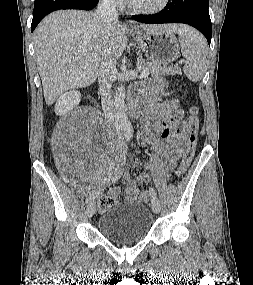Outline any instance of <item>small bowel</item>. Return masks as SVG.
Listing matches in <instances>:
<instances>
[{
	"mask_svg": "<svg viewBox=\"0 0 253 285\" xmlns=\"http://www.w3.org/2000/svg\"><path fill=\"white\" fill-rule=\"evenodd\" d=\"M165 89L166 83L160 77L151 79L143 87L145 99L142 104L141 139L143 144L150 146L158 157L164 159L166 169L171 170L177 163L186 142L188 123L183 119L176 99L162 101ZM155 134L161 140L156 139ZM66 151V145L61 143L60 154L64 155ZM154 171L155 166L148 163L135 180L130 178L127 171H124L122 175L126 181L124 198L128 201L141 200L143 191L139 184L149 182L150 175ZM120 192L121 189L118 186L108 190V194L114 199L119 196Z\"/></svg>",
	"mask_w": 253,
	"mask_h": 285,
	"instance_id": "c3829d8e",
	"label": "small bowel"
}]
</instances>
